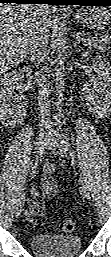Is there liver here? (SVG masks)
<instances>
[{"instance_id": "6515ba94", "label": "liver", "mask_w": 111, "mask_h": 257, "mask_svg": "<svg viewBox=\"0 0 111 257\" xmlns=\"http://www.w3.org/2000/svg\"><path fill=\"white\" fill-rule=\"evenodd\" d=\"M48 5L2 4L0 6V70L18 65L27 56L36 28L49 29Z\"/></svg>"}]
</instances>
